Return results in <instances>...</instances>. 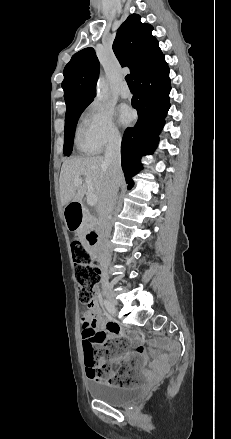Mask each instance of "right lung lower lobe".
Returning <instances> with one entry per match:
<instances>
[{"mask_svg": "<svg viewBox=\"0 0 231 439\" xmlns=\"http://www.w3.org/2000/svg\"><path fill=\"white\" fill-rule=\"evenodd\" d=\"M134 82L136 92L132 98V106L138 112V120L134 127L126 129L121 145L122 169L128 188L134 184L132 177L142 169L141 157L152 154L155 150L170 107L171 86L165 57L139 74Z\"/></svg>", "mask_w": 231, "mask_h": 439, "instance_id": "1", "label": "right lung lower lobe"}]
</instances>
